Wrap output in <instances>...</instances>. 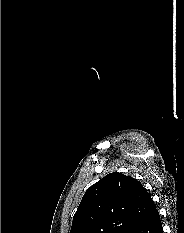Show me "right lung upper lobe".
I'll return each mask as SVG.
<instances>
[{
  "instance_id": "obj_1",
  "label": "right lung upper lobe",
  "mask_w": 184,
  "mask_h": 233,
  "mask_svg": "<svg viewBox=\"0 0 184 233\" xmlns=\"http://www.w3.org/2000/svg\"><path fill=\"white\" fill-rule=\"evenodd\" d=\"M155 209L136 179L110 173L85 192L70 233H129Z\"/></svg>"
}]
</instances>
